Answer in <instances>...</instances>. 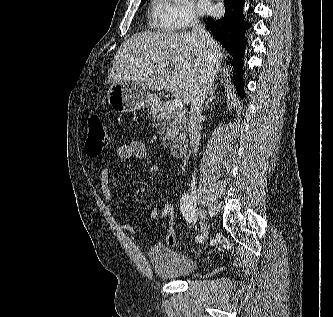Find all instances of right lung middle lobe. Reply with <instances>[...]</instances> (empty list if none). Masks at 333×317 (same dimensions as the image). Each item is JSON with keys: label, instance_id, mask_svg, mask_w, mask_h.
Wrapping results in <instances>:
<instances>
[{"label": "right lung middle lobe", "instance_id": "right-lung-middle-lobe-1", "mask_svg": "<svg viewBox=\"0 0 333 317\" xmlns=\"http://www.w3.org/2000/svg\"><path fill=\"white\" fill-rule=\"evenodd\" d=\"M145 1H146V0L142 1V4H144V3H145Z\"/></svg>", "mask_w": 333, "mask_h": 317}]
</instances>
